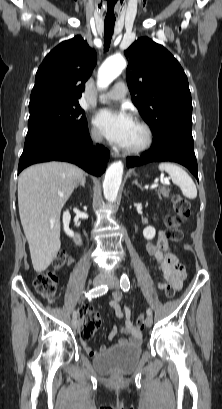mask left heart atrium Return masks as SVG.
Wrapping results in <instances>:
<instances>
[{
	"label": "left heart atrium",
	"mask_w": 222,
	"mask_h": 409,
	"mask_svg": "<svg viewBox=\"0 0 222 409\" xmlns=\"http://www.w3.org/2000/svg\"><path fill=\"white\" fill-rule=\"evenodd\" d=\"M94 124L111 143L124 148L134 121L125 111L103 109L96 114Z\"/></svg>",
	"instance_id": "39dd6f15"
}]
</instances>
